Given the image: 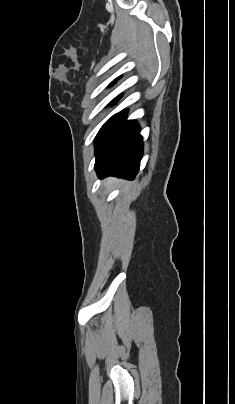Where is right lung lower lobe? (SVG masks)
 Instances as JSON below:
<instances>
[{
    "label": "right lung lower lobe",
    "mask_w": 235,
    "mask_h": 404,
    "mask_svg": "<svg viewBox=\"0 0 235 404\" xmlns=\"http://www.w3.org/2000/svg\"><path fill=\"white\" fill-rule=\"evenodd\" d=\"M127 112L112 116L95 138V169L100 178L114 175L133 179L143 154L140 127L126 121Z\"/></svg>",
    "instance_id": "right-lung-lower-lobe-1"
}]
</instances>
